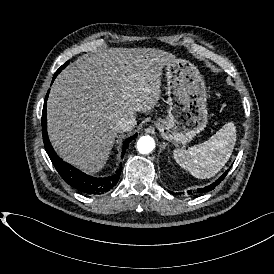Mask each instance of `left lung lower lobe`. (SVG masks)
Listing matches in <instances>:
<instances>
[{"mask_svg": "<svg viewBox=\"0 0 274 274\" xmlns=\"http://www.w3.org/2000/svg\"><path fill=\"white\" fill-rule=\"evenodd\" d=\"M228 171H229V170H227V171L220 177V179H218L215 183L210 184L209 186H206V187L203 188V189H198L197 191H198L199 193H201V192H207V191L213 190V189L215 188V186L218 185V184L225 178V176L227 175Z\"/></svg>", "mask_w": 274, "mask_h": 274, "instance_id": "1", "label": "left lung lower lobe"}]
</instances>
